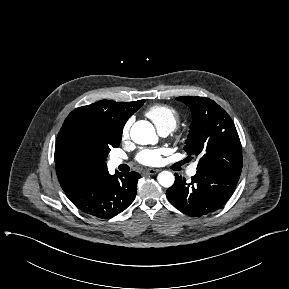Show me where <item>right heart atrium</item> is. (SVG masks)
I'll list each match as a JSON object with an SVG mask.
<instances>
[{
  "label": "right heart atrium",
  "mask_w": 289,
  "mask_h": 289,
  "mask_svg": "<svg viewBox=\"0 0 289 289\" xmlns=\"http://www.w3.org/2000/svg\"><path fill=\"white\" fill-rule=\"evenodd\" d=\"M133 123V119L129 118L122 127L121 135L123 139H127L130 134V129Z\"/></svg>",
  "instance_id": "obj_1"
}]
</instances>
